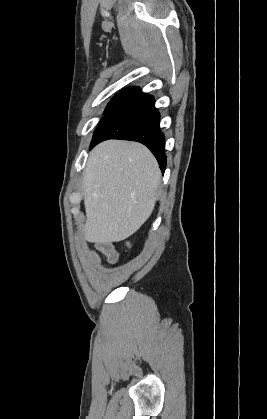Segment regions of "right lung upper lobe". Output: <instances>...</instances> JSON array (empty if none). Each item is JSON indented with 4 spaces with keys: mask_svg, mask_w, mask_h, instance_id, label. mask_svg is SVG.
Wrapping results in <instances>:
<instances>
[{
    "mask_svg": "<svg viewBox=\"0 0 267 419\" xmlns=\"http://www.w3.org/2000/svg\"><path fill=\"white\" fill-rule=\"evenodd\" d=\"M136 89H138V88L137 87L126 88V89L120 91V93L130 94L131 92L135 91Z\"/></svg>",
    "mask_w": 267,
    "mask_h": 419,
    "instance_id": "obj_1",
    "label": "right lung upper lobe"
}]
</instances>
